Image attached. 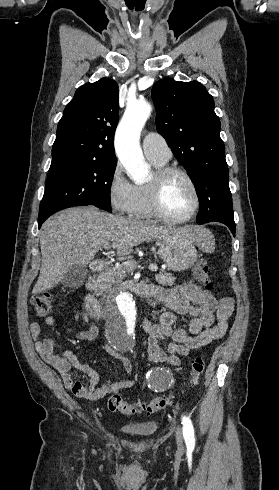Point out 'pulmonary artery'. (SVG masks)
Wrapping results in <instances>:
<instances>
[{"label":"pulmonary artery","mask_w":279,"mask_h":490,"mask_svg":"<svg viewBox=\"0 0 279 490\" xmlns=\"http://www.w3.org/2000/svg\"><path fill=\"white\" fill-rule=\"evenodd\" d=\"M145 156L158 164L166 163L172 156V152L165 138L156 131H149L142 141Z\"/></svg>","instance_id":"pulmonary-artery-1"}]
</instances>
